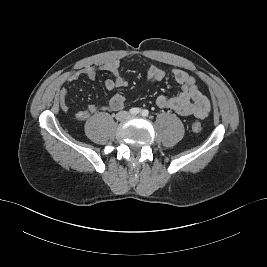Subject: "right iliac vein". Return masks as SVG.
Returning a JSON list of instances; mask_svg holds the SVG:
<instances>
[{
	"instance_id": "1",
	"label": "right iliac vein",
	"mask_w": 267,
	"mask_h": 267,
	"mask_svg": "<svg viewBox=\"0 0 267 267\" xmlns=\"http://www.w3.org/2000/svg\"><path fill=\"white\" fill-rule=\"evenodd\" d=\"M125 117H126V114H125V113H122V114L119 115V118H120V119H123V118H125Z\"/></svg>"
}]
</instances>
